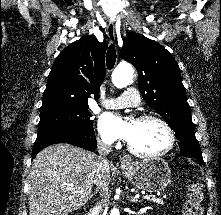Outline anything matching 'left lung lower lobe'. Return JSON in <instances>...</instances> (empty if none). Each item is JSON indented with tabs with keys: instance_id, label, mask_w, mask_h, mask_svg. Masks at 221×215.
Segmentation results:
<instances>
[{
	"instance_id": "left-lung-lower-lobe-1",
	"label": "left lung lower lobe",
	"mask_w": 221,
	"mask_h": 215,
	"mask_svg": "<svg viewBox=\"0 0 221 215\" xmlns=\"http://www.w3.org/2000/svg\"><path fill=\"white\" fill-rule=\"evenodd\" d=\"M181 155L185 156V157H189V158H194L196 159L199 163L204 164L203 158H202V153L201 154H193V153H189L186 151H181Z\"/></svg>"
}]
</instances>
